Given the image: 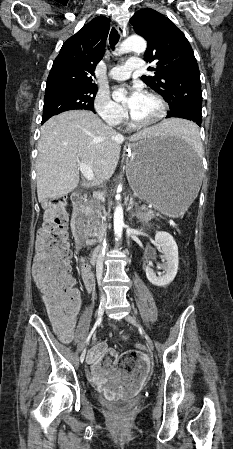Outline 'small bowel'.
I'll return each instance as SVG.
<instances>
[{"instance_id": "small-bowel-1", "label": "small bowel", "mask_w": 233, "mask_h": 449, "mask_svg": "<svg viewBox=\"0 0 233 449\" xmlns=\"http://www.w3.org/2000/svg\"><path fill=\"white\" fill-rule=\"evenodd\" d=\"M95 279L94 272L79 273V280L83 281L90 292L93 290ZM73 318L68 322L57 321L55 324L56 331L65 342H70L73 338ZM87 360L91 365V377L101 388L98 394L100 399H133L136 391L143 388V377L150 376L148 361L144 355L137 356L133 368H119L116 364L118 361L116 351L103 342L93 344Z\"/></svg>"}]
</instances>
